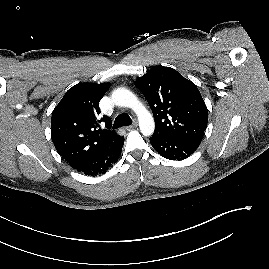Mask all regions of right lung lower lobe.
Here are the masks:
<instances>
[{
  "label": "right lung lower lobe",
  "instance_id": "1",
  "mask_svg": "<svg viewBox=\"0 0 269 269\" xmlns=\"http://www.w3.org/2000/svg\"><path fill=\"white\" fill-rule=\"evenodd\" d=\"M124 137H118L110 146L102 149L96 156L90 158L81 166L75 168L88 176L105 174L121 155Z\"/></svg>",
  "mask_w": 269,
  "mask_h": 269
}]
</instances>
